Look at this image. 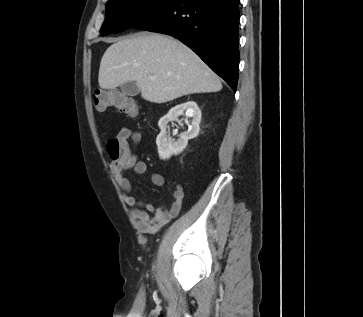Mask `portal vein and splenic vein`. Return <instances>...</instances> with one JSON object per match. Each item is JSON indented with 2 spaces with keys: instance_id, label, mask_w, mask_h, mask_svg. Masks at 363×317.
Masks as SVG:
<instances>
[{
  "instance_id": "obj_1",
  "label": "portal vein and splenic vein",
  "mask_w": 363,
  "mask_h": 317,
  "mask_svg": "<svg viewBox=\"0 0 363 317\" xmlns=\"http://www.w3.org/2000/svg\"><path fill=\"white\" fill-rule=\"evenodd\" d=\"M149 79L150 80H155V77L154 76H149Z\"/></svg>"
}]
</instances>
